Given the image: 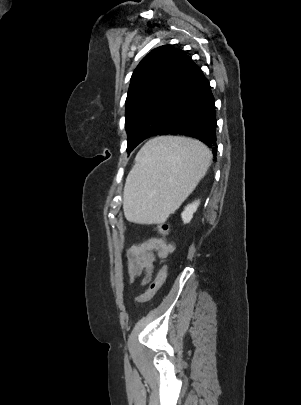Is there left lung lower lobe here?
<instances>
[{
    "instance_id": "0a47b994",
    "label": "left lung lower lobe",
    "mask_w": 301,
    "mask_h": 405,
    "mask_svg": "<svg viewBox=\"0 0 301 405\" xmlns=\"http://www.w3.org/2000/svg\"><path fill=\"white\" fill-rule=\"evenodd\" d=\"M215 103L211 87L200 67L193 63L188 80L153 136L179 135L196 138L217 153ZM147 139V138H146ZM144 139H134L130 153Z\"/></svg>"
}]
</instances>
